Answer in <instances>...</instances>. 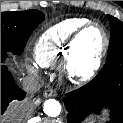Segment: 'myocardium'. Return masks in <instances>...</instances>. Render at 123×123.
<instances>
[{"label":"myocardium","mask_w":123,"mask_h":123,"mask_svg":"<svg viewBox=\"0 0 123 123\" xmlns=\"http://www.w3.org/2000/svg\"><path fill=\"white\" fill-rule=\"evenodd\" d=\"M97 27L103 36V44L94 60V62L85 70L80 68V60L76 53L77 44L80 38L87 32L90 27ZM109 46V36L107 31L96 22H87L83 27H81L73 36L68 57L64 63V68L69 76V78L76 83L86 82L92 79L98 72L103 58L107 52Z\"/></svg>","instance_id":"myocardium-1"}]
</instances>
